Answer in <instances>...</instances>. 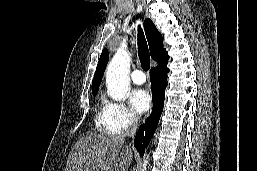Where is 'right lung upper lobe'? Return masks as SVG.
I'll return each instance as SVG.
<instances>
[{
    "label": "right lung upper lobe",
    "instance_id": "obj_1",
    "mask_svg": "<svg viewBox=\"0 0 257 171\" xmlns=\"http://www.w3.org/2000/svg\"><path fill=\"white\" fill-rule=\"evenodd\" d=\"M144 28H145V34L148 40L149 48H150L151 57L155 61H157L158 64L168 62L169 56L167 55V52L163 48L162 35L157 30L154 23L150 19H145ZM108 60H109L108 50L104 49L100 56V59L96 68V72L92 81L93 94H97L98 92V88L102 81V75L105 71Z\"/></svg>",
    "mask_w": 257,
    "mask_h": 171
}]
</instances>
